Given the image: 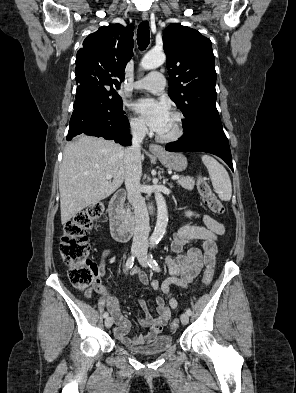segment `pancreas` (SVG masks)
<instances>
[{"label": "pancreas", "mask_w": 296, "mask_h": 393, "mask_svg": "<svg viewBox=\"0 0 296 393\" xmlns=\"http://www.w3.org/2000/svg\"><path fill=\"white\" fill-rule=\"evenodd\" d=\"M177 184L186 190H193L195 186V180L192 177H181L177 180ZM126 215L131 216L129 208L127 209Z\"/></svg>", "instance_id": "cf45deb5"}]
</instances>
